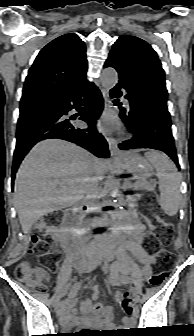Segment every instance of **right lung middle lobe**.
Segmentation results:
<instances>
[{"mask_svg":"<svg viewBox=\"0 0 194 336\" xmlns=\"http://www.w3.org/2000/svg\"><path fill=\"white\" fill-rule=\"evenodd\" d=\"M25 109H28V108H25ZM25 109H20V111L25 110Z\"/></svg>","mask_w":194,"mask_h":336,"instance_id":"1","label":"right lung middle lobe"}]
</instances>
